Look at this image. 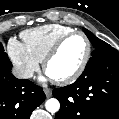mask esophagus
Segmentation results:
<instances>
[{"label": "esophagus", "instance_id": "esophagus-1", "mask_svg": "<svg viewBox=\"0 0 119 119\" xmlns=\"http://www.w3.org/2000/svg\"><path fill=\"white\" fill-rule=\"evenodd\" d=\"M44 92H45L47 98L51 97L52 90L50 88H44Z\"/></svg>", "mask_w": 119, "mask_h": 119}]
</instances>
